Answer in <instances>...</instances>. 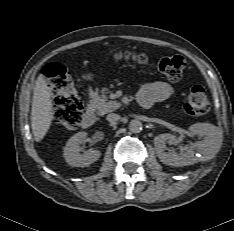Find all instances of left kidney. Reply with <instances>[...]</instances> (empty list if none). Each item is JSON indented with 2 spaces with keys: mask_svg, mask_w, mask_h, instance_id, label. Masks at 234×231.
Wrapping results in <instances>:
<instances>
[{
  "mask_svg": "<svg viewBox=\"0 0 234 231\" xmlns=\"http://www.w3.org/2000/svg\"><path fill=\"white\" fill-rule=\"evenodd\" d=\"M189 133L203 137V139L179 154L174 150L165 152L166 143L170 145L176 143L175 135L164 133L154 138L156 153L162 163L170 166L192 165L202 158L212 157L220 150L223 133L216 126L209 123H195L189 127Z\"/></svg>",
  "mask_w": 234,
  "mask_h": 231,
  "instance_id": "5707ae66",
  "label": "left kidney"
}]
</instances>
